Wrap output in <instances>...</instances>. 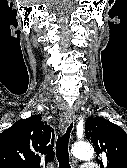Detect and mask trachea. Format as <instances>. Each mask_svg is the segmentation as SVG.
Returning a JSON list of instances; mask_svg holds the SVG:
<instances>
[{
    "label": "trachea",
    "instance_id": "1",
    "mask_svg": "<svg viewBox=\"0 0 127 168\" xmlns=\"http://www.w3.org/2000/svg\"><path fill=\"white\" fill-rule=\"evenodd\" d=\"M72 127L73 123L67 127L66 132L62 136H59L56 143V157L59 168H71L69 163L68 143Z\"/></svg>",
    "mask_w": 127,
    "mask_h": 168
}]
</instances>
